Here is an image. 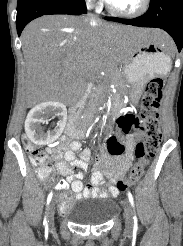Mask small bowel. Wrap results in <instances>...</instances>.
Wrapping results in <instances>:
<instances>
[{
  "mask_svg": "<svg viewBox=\"0 0 183 246\" xmlns=\"http://www.w3.org/2000/svg\"><path fill=\"white\" fill-rule=\"evenodd\" d=\"M81 134V132H78V135ZM118 139L121 143H124V147H127L125 155L123 157H111L108 150L106 153L104 149H101L97 155V163L91 176L88 182L84 184L82 182L83 172L74 173V171L78 168L82 170L88 169L91 153L89 149H83L79 158H76V152L81 149V142L78 139H73L69 142L67 139L62 138L57 146L48 150L57 161L58 172L65 176V180L58 183L57 189L66 190L70 188L78 200L88 197H107L108 195L116 197L119 190L115 185L108 186L104 181V176L116 181L124 176L134 157L137 136L128 134ZM61 202L66 206V210L61 211L64 213L71 207L72 198L67 194H63Z\"/></svg>",
  "mask_w": 183,
  "mask_h": 246,
  "instance_id": "c3829d8e",
  "label": "small bowel"
}]
</instances>
